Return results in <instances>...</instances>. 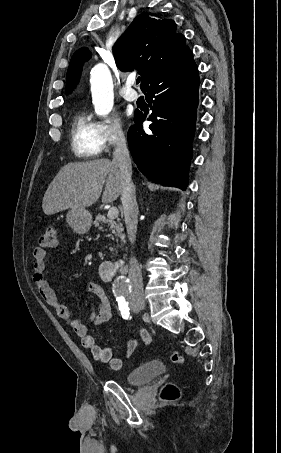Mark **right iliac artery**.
Masks as SVG:
<instances>
[{
	"label": "right iliac artery",
	"instance_id": "right-iliac-artery-1",
	"mask_svg": "<svg viewBox=\"0 0 281 453\" xmlns=\"http://www.w3.org/2000/svg\"><path fill=\"white\" fill-rule=\"evenodd\" d=\"M119 310L121 311V315L124 319H128L129 317V307L128 304H120L119 305ZM131 319V317H130Z\"/></svg>",
	"mask_w": 281,
	"mask_h": 453
}]
</instances>
